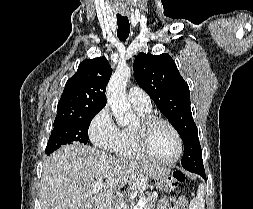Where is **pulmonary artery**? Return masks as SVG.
Here are the masks:
<instances>
[{"mask_svg": "<svg viewBox=\"0 0 253 209\" xmlns=\"http://www.w3.org/2000/svg\"><path fill=\"white\" fill-rule=\"evenodd\" d=\"M130 103L142 107H151V99L148 94L139 87L133 86L127 93Z\"/></svg>", "mask_w": 253, "mask_h": 209, "instance_id": "1", "label": "pulmonary artery"}]
</instances>
